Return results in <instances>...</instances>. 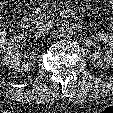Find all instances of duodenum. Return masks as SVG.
I'll list each match as a JSON object with an SVG mask.
<instances>
[{"label": "duodenum", "instance_id": "obj_1", "mask_svg": "<svg viewBox=\"0 0 113 113\" xmlns=\"http://www.w3.org/2000/svg\"><path fill=\"white\" fill-rule=\"evenodd\" d=\"M60 16L63 19H77V15L76 13L69 8H65L61 11ZM31 26V18L29 16H24L21 20H20V28L23 30H27L29 27Z\"/></svg>", "mask_w": 113, "mask_h": 113}]
</instances>
